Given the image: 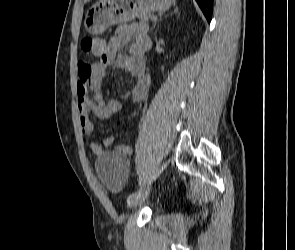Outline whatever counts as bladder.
<instances>
[{
  "instance_id": "31cf9c89",
  "label": "bladder",
  "mask_w": 295,
  "mask_h": 250,
  "mask_svg": "<svg viewBox=\"0 0 295 250\" xmlns=\"http://www.w3.org/2000/svg\"><path fill=\"white\" fill-rule=\"evenodd\" d=\"M94 169L105 187L118 191L125 182L128 161L126 156L114 151H105L96 159Z\"/></svg>"
}]
</instances>
